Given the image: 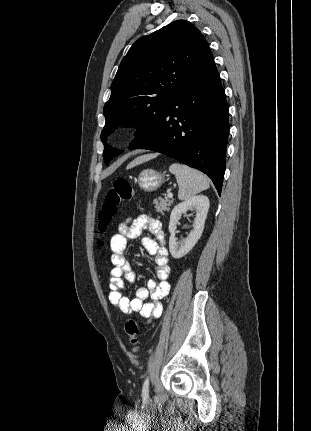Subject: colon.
<instances>
[{"instance_id": "1", "label": "colon", "mask_w": 311, "mask_h": 431, "mask_svg": "<svg viewBox=\"0 0 311 431\" xmlns=\"http://www.w3.org/2000/svg\"><path fill=\"white\" fill-rule=\"evenodd\" d=\"M134 196L135 190L126 178L118 177L111 182L98 215L100 231H105L117 214L119 206L132 200ZM125 333L133 350L137 352L139 350V327L135 320H128L125 323Z\"/></svg>"}]
</instances>
